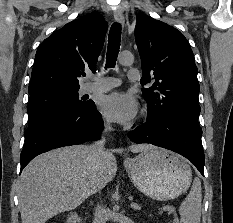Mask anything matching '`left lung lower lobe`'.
I'll return each instance as SVG.
<instances>
[{
    "label": "left lung lower lobe",
    "mask_w": 233,
    "mask_h": 223,
    "mask_svg": "<svg viewBox=\"0 0 233 223\" xmlns=\"http://www.w3.org/2000/svg\"><path fill=\"white\" fill-rule=\"evenodd\" d=\"M201 136L198 120L187 117L147 120L142 126L128 132L129 139L135 143H151L186 157L204 176L205 157Z\"/></svg>",
    "instance_id": "obj_1"
}]
</instances>
